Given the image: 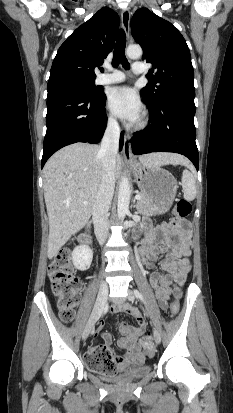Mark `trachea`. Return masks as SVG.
Instances as JSON below:
<instances>
[{
  "instance_id": "3493384b",
  "label": "trachea",
  "mask_w": 233,
  "mask_h": 413,
  "mask_svg": "<svg viewBox=\"0 0 233 413\" xmlns=\"http://www.w3.org/2000/svg\"><path fill=\"white\" fill-rule=\"evenodd\" d=\"M125 46H126V35L123 29L119 31L115 48H114V53H113V60H112V66L117 67L119 64H122V66L128 70L130 68V64L128 63V60L125 56Z\"/></svg>"
}]
</instances>
